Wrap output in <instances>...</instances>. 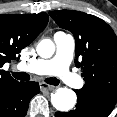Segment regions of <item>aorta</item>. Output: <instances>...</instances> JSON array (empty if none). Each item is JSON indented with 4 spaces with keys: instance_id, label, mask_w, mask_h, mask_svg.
Segmentation results:
<instances>
[{
    "instance_id": "obj_1",
    "label": "aorta",
    "mask_w": 117,
    "mask_h": 117,
    "mask_svg": "<svg viewBox=\"0 0 117 117\" xmlns=\"http://www.w3.org/2000/svg\"><path fill=\"white\" fill-rule=\"evenodd\" d=\"M36 51L38 55L42 58H50L55 52V45L49 39L41 40ZM77 101V96L74 91L66 87H61L56 89L51 94V103L54 108L61 112H67L71 110Z\"/></svg>"
}]
</instances>
